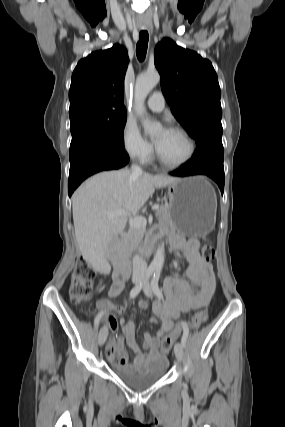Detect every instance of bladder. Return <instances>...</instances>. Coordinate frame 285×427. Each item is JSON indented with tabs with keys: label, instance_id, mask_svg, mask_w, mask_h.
I'll return each mask as SVG.
<instances>
[{
	"label": "bladder",
	"instance_id": "31cf9c89",
	"mask_svg": "<svg viewBox=\"0 0 285 427\" xmlns=\"http://www.w3.org/2000/svg\"><path fill=\"white\" fill-rule=\"evenodd\" d=\"M167 362L150 371L132 372L126 368L117 366L115 374L129 387L135 390H144L154 385L166 372Z\"/></svg>",
	"mask_w": 285,
	"mask_h": 427
}]
</instances>
